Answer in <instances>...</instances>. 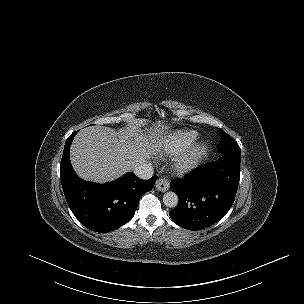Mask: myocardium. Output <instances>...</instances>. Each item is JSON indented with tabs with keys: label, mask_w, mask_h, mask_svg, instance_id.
I'll use <instances>...</instances> for the list:
<instances>
[{
	"label": "myocardium",
	"mask_w": 304,
	"mask_h": 304,
	"mask_svg": "<svg viewBox=\"0 0 304 304\" xmlns=\"http://www.w3.org/2000/svg\"><path fill=\"white\" fill-rule=\"evenodd\" d=\"M208 150L206 142L197 143L173 161V168L177 174L184 175L192 172L201 163Z\"/></svg>",
	"instance_id": "1"
}]
</instances>
